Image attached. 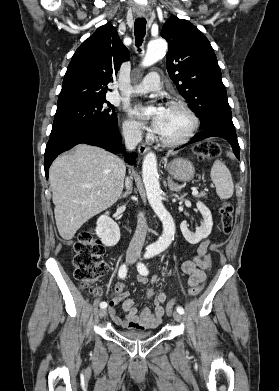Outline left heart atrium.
Listing matches in <instances>:
<instances>
[{"label":"left heart atrium","mask_w":279,"mask_h":391,"mask_svg":"<svg viewBox=\"0 0 279 391\" xmlns=\"http://www.w3.org/2000/svg\"><path fill=\"white\" fill-rule=\"evenodd\" d=\"M166 109L163 105H157L152 112H148L144 107L138 106L133 109V114L143 120L150 122L156 132H159L164 120Z\"/></svg>","instance_id":"39dd6f15"}]
</instances>
